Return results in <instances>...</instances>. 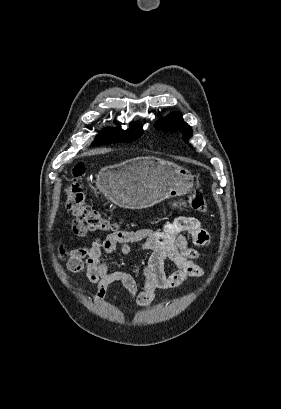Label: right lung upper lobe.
I'll return each mask as SVG.
<instances>
[{"label": "right lung upper lobe", "instance_id": "obj_1", "mask_svg": "<svg viewBox=\"0 0 281 409\" xmlns=\"http://www.w3.org/2000/svg\"><path fill=\"white\" fill-rule=\"evenodd\" d=\"M133 126H141V125H139V124H132L131 127H133Z\"/></svg>", "mask_w": 281, "mask_h": 409}]
</instances>
